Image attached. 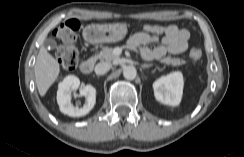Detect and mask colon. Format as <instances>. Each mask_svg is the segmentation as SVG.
I'll return each instance as SVG.
<instances>
[{"label": "colon", "mask_w": 244, "mask_h": 157, "mask_svg": "<svg viewBox=\"0 0 244 157\" xmlns=\"http://www.w3.org/2000/svg\"><path fill=\"white\" fill-rule=\"evenodd\" d=\"M80 24L76 19H70L63 22L55 31L54 36L58 41L56 48V58L60 65L66 70H72L78 63V51L75 47V41L78 36ZM166 27L160 24H146L141 32L148 34H162ZM202 56L200 48L195 47L190 51V57L193 60H199Z\"/></svg>", "instance_id": "colon-1"}]
</instances>
